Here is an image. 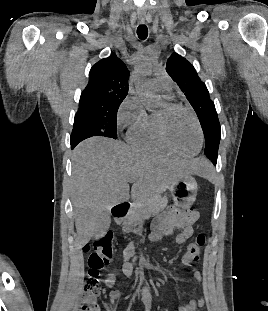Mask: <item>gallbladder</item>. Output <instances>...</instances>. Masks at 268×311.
Listing matches in <instances>:
<instances>
[{
    "label": "gallbladder",
    "instance_id": "bac80fb5",
    "mask_svg": "<svg viewBox=\"0 0 268 311\" xmlns=\"http://www.w3.org/2000/svg\"><path fill=\"white\" fill-rule=\"evenodd\" d=\"M97 229L96 232L97 234L95 235L97 238L100 236L99 234H106L107 228L109 227L110 224V217L108 214L103 215L101 219H97Z\"/></svg>",
    "mask_w": 268,
    "mask_h": 311
}]
</instances>
